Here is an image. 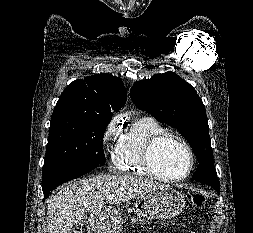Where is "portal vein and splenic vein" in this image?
I'll return each mask as SVG.
<instances>
[{"label": "portal vein and splenic vein", "mask_w": 253, "mask_h": 233, "mask_svg": "<svg viewBox=\"0 0 253 233\" xmlns=\"http://www.w3.org/2000/svg\"><path fill=\"white\" fill-rule=\"evenodd\" d=\"M113 197H114L113 195H107V196H106L107 200H112Z\"/></svg>", "instance_id": "1"}]
</instances>
